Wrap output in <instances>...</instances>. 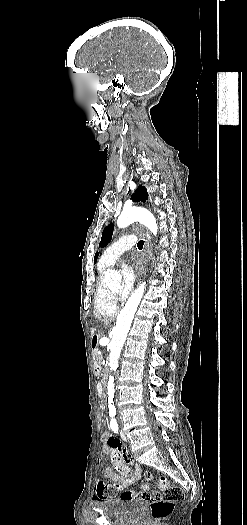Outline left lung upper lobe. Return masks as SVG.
I'll use <instances>...</instances> for the list:
<instances>
[{
    "label": "left lung upper lobe",
    "instance_id": "obj_1",
    "mask_svg": "<svg viewBox=\"0 0 247 525\" xmlns=\"http://www.w3.org/2000/svg\"><path fill=\"white\" fill-rule=\"evenodd\" d=\"M132 199L135 202H139V201L145 202L148 199V193H147L146 188L140 185L136 191V194L132 196ZM113 228H114V225L112 223L109 224L107 227H105L102 233V238H101V242L99 243V247H105L111 241L112 234H113ZM98 256H99V253L97 252L94 257V262H96Z\"/></svg>",
    "mask_w": 247,
    "mask_h": 525
}]
</instances>
